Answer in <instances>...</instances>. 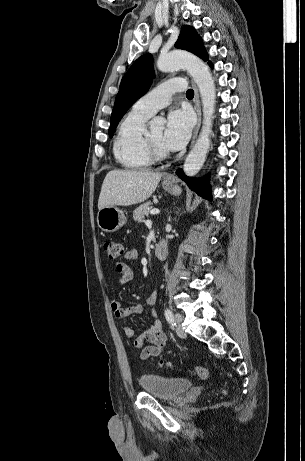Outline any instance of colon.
I'll return each mask as SVG.
<instances>
[{"instance_id":"5ec220e1","label":"colon","mask_w":305,"mask_h":461,"mask_svg":"<svg viewBox=\"0 0 305 461\" xmlns=\"http://www.w3.org/2000/svg\"><path fill=\"white\" fill-rule=\"evenodd\" d=\"M103 249L111 261L119 259L124 254L123 244L120 241L113 239L105 240L103 243ZM160 366H166L168 368L172 367L171 363H165L163 361L160 362ZM193 372L198 378L205 379L207 377V370L203 366H195ZM221 392L224 393V390H221Z\"/></svg>"}]
</instances>
